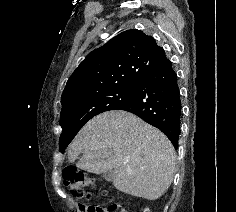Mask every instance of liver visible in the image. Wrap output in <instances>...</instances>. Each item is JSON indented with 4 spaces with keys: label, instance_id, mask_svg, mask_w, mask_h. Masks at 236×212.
Returning <instances> with one entry per match:
<instances>
[{
    "label": "liver",
    "instance_id": "6515ba94",
    "mask_svg": "<svg viewBox=\"0 0 236 212\" xmlns=\"http://www.w3.org/2000/svg\"><path fill=\"white\" fill-rule=\"evenodd\" d=\"M85 171L113 170L121 192L156 200L173 181L176 153L158 129L126 111H108L87 122L70 144L68 160Z\"/></svg>",
    "mask_w": 236,
    "mask_h": 212
}]
</instances>
